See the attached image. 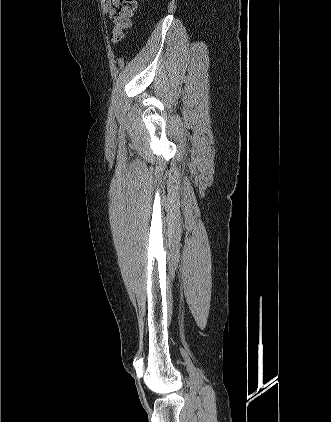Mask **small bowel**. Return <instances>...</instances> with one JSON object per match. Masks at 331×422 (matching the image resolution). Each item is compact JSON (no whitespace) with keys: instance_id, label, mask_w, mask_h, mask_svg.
Segmentation results:
<instances>
[{"instance_id":"c3829d8e","label":"small bowel","mask_w":331,"mask_h":422,"mask_svg":"<svg viewBox=\"0 0 331 422\" xmlns=\"http://www.w3.org/2000/svg\"><path fill=\"white\" fill-rule=\"evenodd\" d=\"M101 9L104 15L113 18L120 5V0H100Z\"/></svg>"}]
</instances>
